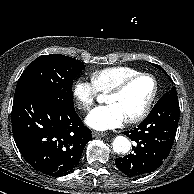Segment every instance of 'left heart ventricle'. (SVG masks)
I'll list each match as a JSON object with an SVG mask.
<instances>
[{
    "label": "left heart ventricle",
    "instance_id": "obj_1",
    "mask_svg": "<svg viewBox=\"0 0 194 194\" xmlns=\"http://www.w3.org/2000/svg\"><path fill=\"white\" fill-rule=\"evenodd\" d=\"M153 91V82L148 77H141L131 82L119 95L106 96L107 104L114 105L125 117L138 115L147 104Z\"/></svg>",
    "mask_w": 194,
    "mask_h": 194
}]
</instances>
